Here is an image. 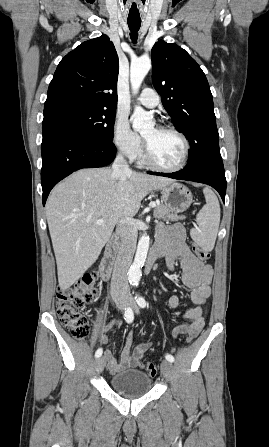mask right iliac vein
<instances>
[{
    "instance_id": "obj_1",
    "label": "right iliac vein",
    "mask_w": 269,
    "mask_h": 447,
    "mask_svg": "<svg viewBox=\"0 0 269 447\" xmlns=\"http://www.w3.org/2000/svg\"><path fill=\"white\" fill-rule=\"evenodd\" d=\"M116 305H117L118 309H120V310H124L125 307H126V302H125V301H122V300H119V301H117ZM95 364H96V372H97V373L102 372V370H103V368H104V366H105V364H106V359H105V357H99V358L96 360V363H95Z\"/></svg>"
}]
</instances>
